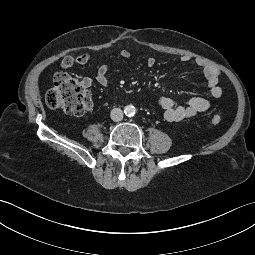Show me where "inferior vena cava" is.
Returning <instances> with one entry per match:
<instances>
[{
    "instance_id": "602c4592",
    "label": "inferior vena cava",
    "mask_w": 255,
    "mask_h": 255,
    "mask_svg": "<svg viewBox=\"0 0 255 255\" xmlns=\"http://www.w3.org/2000/svg\"><path fill=\"white\" fill-rule=\"evenodd\" d=\"M110 116L115 122L121 121L123 119V111L120 108H113Z\"/></svg>"
}]
</instances>
